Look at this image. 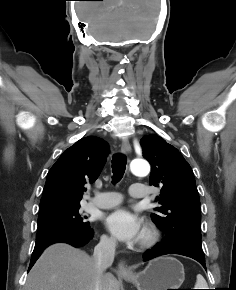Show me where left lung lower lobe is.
I'll return each instance as SVG.
<instances>
[{
	"label": "left lung lower lobe",
	"instance_id": "0a47b994",
	"mask_svg": "<svg viewBox=\"0 0 236 290\" xmlns=\"http://www.w3.org/2000/svg\"><path fill=\"white\" fill-rule=\"evenodd\" d=\"M166 254H180L195 259L206 269L205 256L203 251L191 244L179 242L174 245H168L164 241L158 243L151 250H148L144 255V261L150 260L157 256Z\"/></svg>",
	"mask_w": 236,
	"mask_h": 290
}]
</instances>
